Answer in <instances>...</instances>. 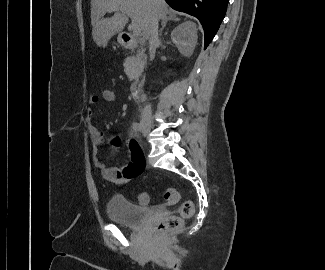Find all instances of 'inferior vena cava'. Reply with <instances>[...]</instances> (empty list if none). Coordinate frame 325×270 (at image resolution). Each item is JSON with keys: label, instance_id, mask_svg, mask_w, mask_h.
Listing matches in <instances>:
<instances>
[{"label": "inferior vena cava", "instance_id": "1", "mask_svg": "<svg viewBox=\"0 0 325 270\" xmlns=\"http://www.w3.org/2000/svg\"><path fill=\"white\" fill-rule=\"evenodd\" d=\"M158 43V19L155 18L150 27L149 32V44H150V53L153 55L156 50V45ZM151 118V107L146 105L142 112V120L149 122Z\"/></svg>", "mask_w": 325, "mask_h": 270}]
</instances>
